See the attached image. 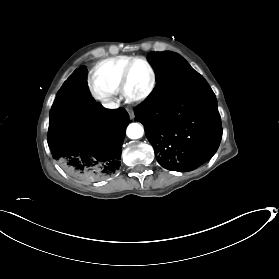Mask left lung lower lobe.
<instances>
[{"label":"left lung lower lobe","instance_id":"1","mask_svg":"<svg viewBox=\"0 0 279 279\" xmlns=\"http://www.w3.org/2000/svg\"><path fill=\"white\" fill-rule=\"evenodd\" d=\"M159 164L172 171H192L217 151L222 137L216 97L200 75L158 103L135 107Z\"/></svg>","mask_w":279,"mask_h":279}]
</instances>
